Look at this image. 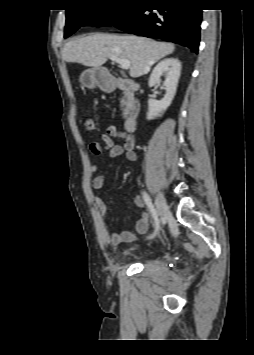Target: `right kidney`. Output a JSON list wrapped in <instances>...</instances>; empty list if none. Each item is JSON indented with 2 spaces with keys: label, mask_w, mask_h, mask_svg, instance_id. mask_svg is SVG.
Wrapping results in <instances>:
<instances>
[{
  "label": "right kidney",
  "mask_w": 254,
  "mask_h": 355,
  "mask_svg": "<svg viewBox=\"0 0 254 355\" xmlns=\"http://www.w3.org/2000/svg\"><path fill=\"white\" fill-rule=\"evenodd\" d=\"M181 72V62L177 58H166L160 61L153 69L149 86H155L161 82V77L165 76L164 86L166 94L160 101L148 100L147 119L151 120L161 115L171 104L178 85Z\"/></svg>",
  "instance_id": "ca27d5eb"
}]
</instances>
